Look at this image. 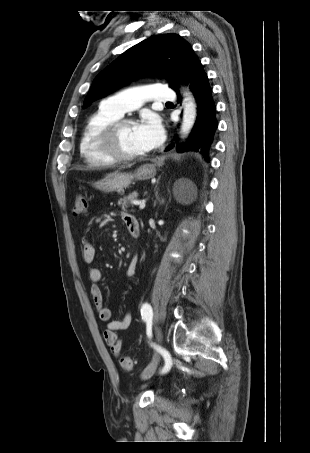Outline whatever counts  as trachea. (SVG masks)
Listing matches in <instances>:
<instances>
[{"label": "trachea", "instance_id": "trachea-1", "mask_svg": "<svg viewBox=\"0 0 310 453\" xmlns=\"http://www.w3.org/2000/svg\"><path fill=\"white\" fill-rule=\"evenodd\" d=\"M166 104H171V102H167Z\"/></svg>", "mask_w": 310, "mask_h": 453}]
</instances>
